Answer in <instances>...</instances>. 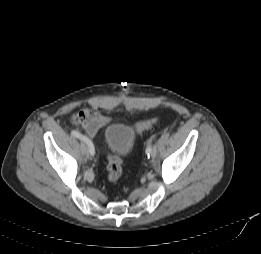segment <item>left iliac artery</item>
<instances>
[{
    "label": "left iliac artery",
    "instance_id": "1",
    "mask_svg": "<svg viewBox=\"0 0 261 254\" xmlns=\"http://www.w3.org/2000/svg\"><path fill=\"white\" fill-rule=\"evenodd\" d=\"M154 148H152L151 144H148L147 148H146V154L148 155V157H152V151Z\"/></svg>",
    "mask_w": 261,
    "mask_h": 254
}]
</instances>
